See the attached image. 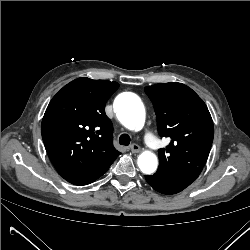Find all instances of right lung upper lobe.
I'll return each mask as SVG.
<instances>
[{
  "instance_id": "obj_1",
  "label": "right lung upper lobe",
  "mask_w": 250,
  "mask_h": 250,
  "mask_svg": "<svg viewBox=\"0 0 250 250\" xmlns=\"http://www.w3.org/2000/svg\"><path fill=\"white\" fill-rule=\"evenodd\" d=\"M119 84L86 77L64 86L49 103L41 125L47 154L59 175L90 170L120 152L104 108Z\"/></svg>"
}]
</instances>
